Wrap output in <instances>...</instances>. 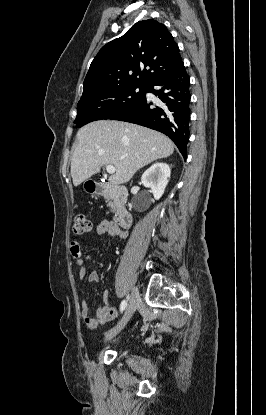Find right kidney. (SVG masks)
Instances as JSON below:
<instances>
[{"label":"right kidney","mask_w":266,"mask_h":415,"mask_svg":"<svg viewBox=\"0 0 266 415\" xmlns=\"http://www.w3.org/2000/svg\"><path fill=\"white\" fill-rule=\"evenodd\" d=\"M171 169L166 163H155L148 168L141 177L142 184L150 188L155 200H159L164 194L169 182Z\"/></svg>","instance_id":"1"}]
</instances>
